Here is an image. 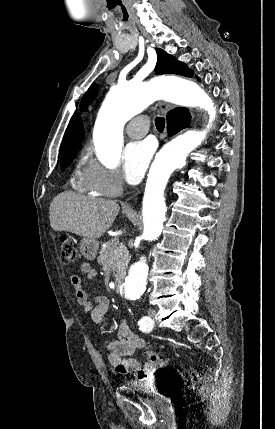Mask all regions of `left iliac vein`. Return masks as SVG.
I'll list each match as a JSON object with an SVG mask.
<instances>
[{
	"label": "left iliac vein",
	"mask_w": 275,
	"mask_h": 429,
	"mask_svg": "<svg viewBox=\"0 0 275 429\" xmlns=\"http://www.w3.org/2000/svg\"><path fill=\"white\" fill-rule=\"evenodd\" d=\"M148 315L151 319H154V317L156 315V310L155 309H149Z\"/></svg>",
	"instance_id": "obj_1"
}]
</instances>
